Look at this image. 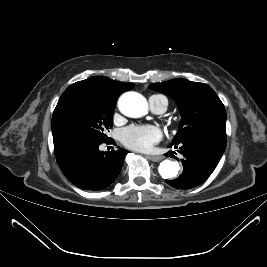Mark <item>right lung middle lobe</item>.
<instances>
[{
  "label": "right lung middle lobe",
  "instance_id": "1",
  "mask_svg": "<svg viewBox=\"0 0 267 267\" xmlns=\"http://www.w3.org/2000/svg\"><path fill=\"white\" fill-rule=\"evenodd\" d=\"M116 99L96 86L76 82L61 95L52 117L54 147L108 141Z\"/></svg>",
  "mask_w": 267,
  "mask_h": 267
}]
</instances>
